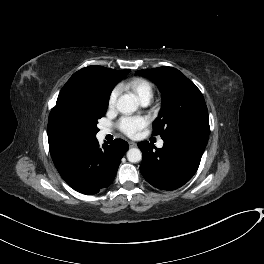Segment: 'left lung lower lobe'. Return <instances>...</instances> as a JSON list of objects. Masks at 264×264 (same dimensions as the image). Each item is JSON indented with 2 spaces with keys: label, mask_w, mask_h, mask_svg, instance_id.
<instances>
[{
  "label": "left lung lower lobe",
  "mask_w": 264,
  "mask_h": 264,
  "mask_svg": "<svg viewBox=\"0 0 264 264\" xmlns=\"http://www.w3.org/2000/svg\"><path fill=\"white\" fill-rule=\"evenodd\" d=\"M209 135L199 131H184L163 139L161 149L149 142H140L142 151L140 171L154 187L174 190L188 182L197 171Z\"/></svg>",
  "instance_id": "0a47b994"
}]
</instances>
